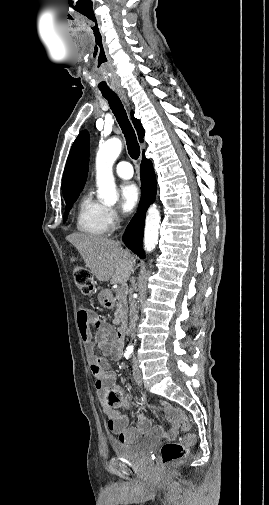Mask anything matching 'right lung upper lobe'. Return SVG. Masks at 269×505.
Segmentation results:
<instances>
[{
    "instance_id": "cb5924a9",
    "label": "right lung upper lobe",
    "mask_w": 269,
    "mask_h": 505,
    "mask_svg": "<svg viewBox=\"0 0 269 505\" xmlns=\"http://www.w3.org/2000/svg\"><path fill=\"white\" fill-rule=\"evenodd\" d=\"M140 142H143L144 129L138 119L131 116ZM89 162V136L82 131L74 141L64 170L62 191L64 199L82 191L86 181Z\"/></svg>"
}]
</instances>
